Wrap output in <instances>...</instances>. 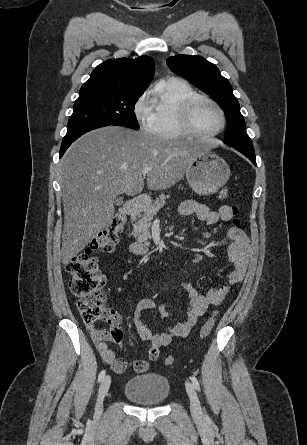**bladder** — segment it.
<instances>
[{
  "mask_svg": "<svg viewBox=\"0 0 307 445\" xmlns=\"http://www.w3.org/2000/svg\"><path fill=\"white\" fill-rule=\"evenodd\" d=\"M125 396L142 406L154 407L163 404L170 394L168 379L157 373H143L127 380Z\"/></svg>",
  "mask_w": 307,
  "mask_h": 445,
  "instance_id": "31cf9c89",
  "label": "bladder"
}]
</instances>
